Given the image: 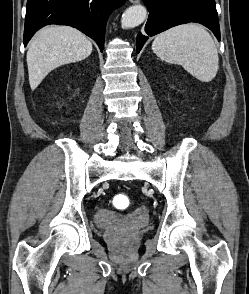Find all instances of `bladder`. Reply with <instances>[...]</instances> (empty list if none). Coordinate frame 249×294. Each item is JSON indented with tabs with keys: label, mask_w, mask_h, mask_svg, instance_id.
Segmentation results:
<instances>
[{
	"label": "bladder",
	"mask_w": 249,
	"mask_h": 294,
	"mask_svg": "<svg viewBox=\"0 0 249 294\" xmlns=\"http://www.w3.org/2000/svg\"><path fill=\"white\" fill-rule=\"evenodd\" d=\"M96 219L98 222L103 223L105 226L112 225L117 222L118 219L111 215H103L102 213L97 214Z\"/></svg>",
	"instance_id": "31cf9c89"
}]
</instances>
